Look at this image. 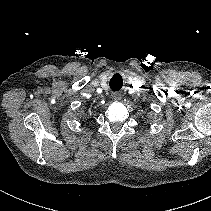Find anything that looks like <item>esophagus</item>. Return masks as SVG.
Wrapping results in <instances>:
<instances>
[{
  "mask_svg": "<svg viewBox=\"0 0 211 211\" xmlns=\"http://www.w3.org/2000/svg\"><path fill=\"white\" fill-rule=\"evenodd\" d=\"M112 99H113L114 101L120 100V99H121V94H120V93H114V94L112 95Z\"/></svg>",
  "mask_w": 211,
  "mask_h": 211,
  "instance_id": "1",
  "label": "esophagus"
}]
</instances>
